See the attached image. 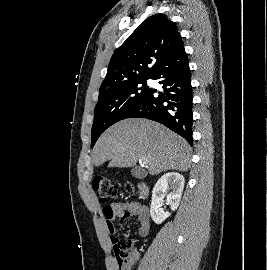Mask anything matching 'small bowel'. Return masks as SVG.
<instances>
[{
	"mask_svg": "<svg viewBox=\"0 0 267 270\" xmlns=\"http://www.w3.org/2000/svg\"><path fill=\"white\" fill-rule=\"evenodd\" d=\"M103 216L112 243L116 232L115 220L124 223L129 218L135 217L138 220V234L141 237H146L149 234L150 220L147 209L137 201L114 202L103 208Z\"/></svg>",
	"mask_w": 267,
	"mask_h": 270,
	"instance_id": "1",
	"label": "small bowel"
}]
</instances>
